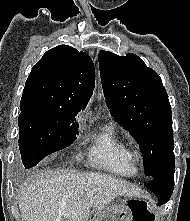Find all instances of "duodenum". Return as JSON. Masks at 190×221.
Here are the masks:
<instances>
[{"label": "duodenum", "mask_w": 190, "mask_h": 221, "mask_svg": "<svg viewBox=\"0 0 190 221\" xmlns=\"http://www.w3.org/2000/svg\"><path fill=\"white\" fill-rule=\"evenodd\" d=\"M83 221H92V219L86 218V219H84Z\"/></svg>", "instance_id": "410a0bca"}]
</instances>
